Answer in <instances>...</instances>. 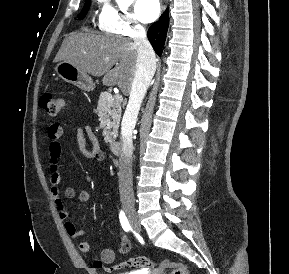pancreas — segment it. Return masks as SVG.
<instances>
[{"mask_svg":"<svg viewBox=\"0 0 289 274\" xmlns=\"http://www.w3.org/2000/svg\"><path fill=\"white\" fill-rule=\"evenodd\" d=\"M98 116L103 129L104 140L112 143L118 136L121 118V101L108 92H102L98 101Z\"/></svg>","mask_w":289,"mask_h":274,"instance_id":"1","label":"pancreas"}]
</instances>
